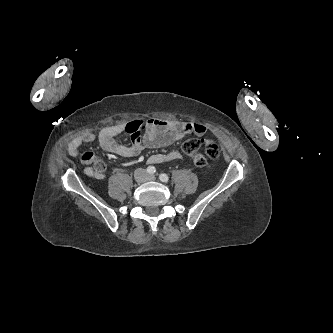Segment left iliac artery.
Instances as JSON below:
<instances>
[{
    "label": "left iliac artery",
    "mask_w": 333,
    "mask_h": 333,
    "mask_svg": "<svg viewBox=\"0 0 333 333\" xmlns=\"http://www.w3.org/2000/svg\"><path fill=\"white\" fill-rule=\"evenodd\" d=\"M159 179L162 182H168L169 181V177L166 174H164V173H162V174L159 175Z\"/></svg>",
    "instance_id": "44dca946"
}]
</instances>
